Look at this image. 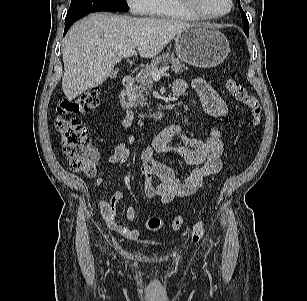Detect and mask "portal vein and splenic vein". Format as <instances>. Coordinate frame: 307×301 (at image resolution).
<instances>
[{
    "label": "portal vein and splenic vein",
    "instance_id": "obj_1",
    "mask_svg": "<svg viewBox=\"0 0 307 301\" xmlns=\"http://www.w3.org/2000/svg\"><path fill=\"white\" fill-rule=\"evenodd\" d=\"M135 53V50H130V51H127L123 54V56L126 58V57H131L133 54ZM169 69V66H164L160 69H153L151 71V76L153 79L155 80H158L161 78V76Z\"/></svg>",
    "mask_w": 307,
    "mask_h": 301
}]
</instances>
